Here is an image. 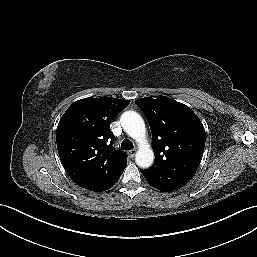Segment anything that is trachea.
<instances>
[{"label":"trachea","mask_w":257,"mask_h":257,"mask_svg":"<svg viewBox=\"0 0 257 257\" xmlns=\"http://www.w3.org/2000/svg\"><path fill=\"white\" fill-rule=\"evenodd\" d=\"M133 147V143L129 139H124L121 143V148L123 150H131Z\"/></svg>","instance_id":"obj_1"}]
</instances>
